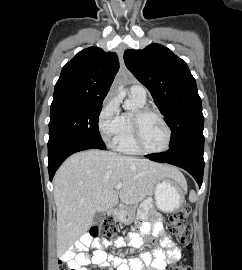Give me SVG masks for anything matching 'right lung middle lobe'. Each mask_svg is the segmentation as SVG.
Segmentation results:
<instances>
[{"mask_svg":"<svg viewBox=\"0 0 242 270\" xmlns=\"http://www.w3.org/2000/svg\"><path fill=\"white\" fill-rule=\"evenodd\" d=\"M102 103L51 106L48 152L68 142H90L105 146L98 119Z\"/></svg>","mask_w":242,"mask_h":270,"instance_id":"right-lung-middle-lobe-1","label":"right lung middle lobe"}]
</instances>
